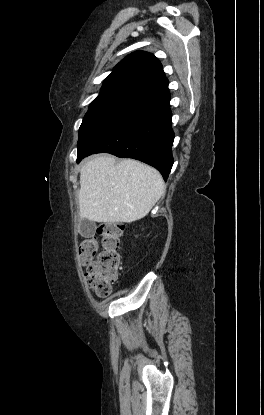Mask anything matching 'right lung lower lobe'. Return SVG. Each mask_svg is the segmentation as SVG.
Instances as JSON below:
<instances>
[{
  "label": "right lung lower lobe",
  "mask_w": 264,
  "mask_h": 415,
  "mask_svg": "<svg viewBox=\"0 0 264 415\" xmlns=\"http://www.w3.org/2000/svg\"><path fill=\"white\" fill-rule=\"evenodd\" d=\"M169 101V91L143 100L78 150L77 162L94 153H110L147 163L166 180L173 165L174 141Z\"/></svg>",
  "instance_id": "98d812e1"
}]
</instances>
